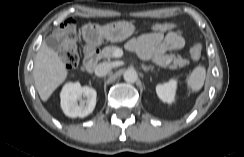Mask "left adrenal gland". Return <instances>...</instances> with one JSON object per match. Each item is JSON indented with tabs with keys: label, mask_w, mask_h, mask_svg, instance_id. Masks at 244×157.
<instances>
[{
	"label": "left adrenal gland",
	"mask_w": 244,
	"mask_h": 157,
	"mask_svg": "<svg viewBox=\"0 0 244 157\" xmlns=\"http://www.w3.org/2000/svg\"><path fill=\"white\" fill-rule=\"evenodd\" d=\"M142 69H143L145 72H148L149 70H153L154 67H153V66H146V65L142 64Z\"/></svg>",
	"instance_id": "left-adrenal-gland-1"
}]
</instances>
